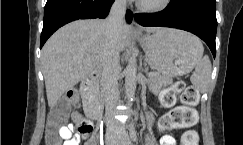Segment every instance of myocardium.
Listing matches in <instances>:
<instances>
[{"label":"myocardium","mask_w":243,"mask_h":145,"mask_svg":"<svg viewBox=\"0 0 243 145\" xmlns=\"http://www.w3.org/2000/svg\"><path fill=\"white\" fill-rule=\"evenodd\" d=\"M170 4H171V0H161L159 3L153 4V5L144 4L140 0L137 1V7L141 11L147 12V13L162 12V11L166 10L170 6Z\"/></svg>","instance_id":"obj_1"}]
</instances>
